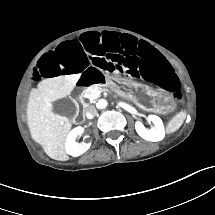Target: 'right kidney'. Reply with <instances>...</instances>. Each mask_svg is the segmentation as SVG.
I'll list each match as a JSON object with an SVG mask.
<instances>
[{
	"label": "right kidney",
	"mask_w": 215,
	"mask_h": 215,
	"mask_svg": "<svg viewBox=\"0 0 215 215\" xmlns=\"http://www.w3.org/2000/svg\"><path fill=\"white\" fill-rule=\"evenodd\" d=\"M83 132H84L83 127L78 126V127L74 128L68 134L66 142H65V150H66L67 154H69L73 157H77V156H80L83 153H85L90 148L91 143L79 144V143L75 142L77 135L82 134ZM87 137H89V136H85V138H87Z\"/></svg>",
	"instance_id": "right-kidney-1"
}]
</instances>
